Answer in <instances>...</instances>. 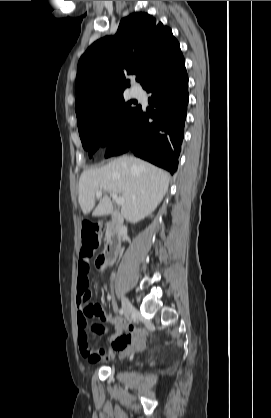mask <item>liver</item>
Here are the masks:
<instances>
[{
	"label": "liver",
	"instance_id": "1",
	"mask_svg": "<svg viewBox=\"0 0 271 418\" xmlns=\"http://www.w3.org/2000/svg\"><path fill=\"white\" fill-rule=\"evenodd\" d=\"M170 175L139 158L122 156L101 168L83 171L79 179L78 201L87 215L95 207L96 191L121 194L122 216L137 223L150 215L168 191ZM113 203L104 195L93 210V216L109 215Z\"/></svg>",
	"mask_w": 271,
	"mask_h": 418
}]
</instances>
